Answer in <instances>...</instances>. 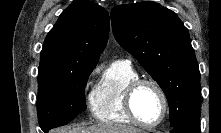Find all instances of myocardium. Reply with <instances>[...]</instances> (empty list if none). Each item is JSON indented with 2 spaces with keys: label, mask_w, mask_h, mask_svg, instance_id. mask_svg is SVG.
<instances>
[{
  "label": "myocardium",
  "mask_w": 221,
  "mask_h": 133,
  "mask_svg": "<svg viewBox=\"0 0 221 133\" xmlns=\"http://www.w3.org/2000/svg\"><path fill=\"white\" fill-rule=\"evenodd\" d=\"M143 85L152 86L158 92L162 101V114L160 118L154 123H146L142 121L138 117L134 109L135 94L138 91V89L142 87ZM124 106H125L127 115L133 120V122L145 128H155L159 126L165 120L167 113H168V108H169L167 95L164 89L161 87V85L158 84L154 80L144 79V78H138L127 86L125 90V96H124Z\"/></svg>",
  "instance_id": "f54148a6"
}]
</instances>
